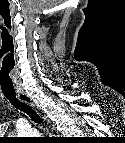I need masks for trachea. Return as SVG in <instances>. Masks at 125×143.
<instances>
[{
  "label": "trachea",
  "instance_id": "1",
  "mask_svg": "<svg viewBox=\"0 0 125 143\" xmlns=\"http://www.w3.org/2000/svg\"><path fill=\"white\" fill-rule=\"evenodd\" d=\"M5 98L18 110L26 113L34 122L41 124L42 120L37 114V112L28 104L20 101L16 95H6Z\"/></svg>",
  "mask_w": 125,
  "mask_h": 143
}]
</instances>
